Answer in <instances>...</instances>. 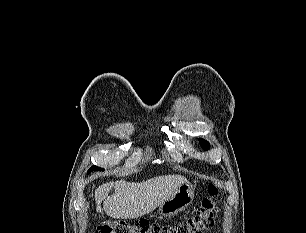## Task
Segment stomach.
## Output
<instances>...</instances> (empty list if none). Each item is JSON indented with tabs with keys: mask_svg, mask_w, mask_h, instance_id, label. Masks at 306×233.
I'll return each mask as SVG.
<instances>
[{
	"mask_svg": "<svg viewBox=\"0 0 306 233\" xmlns=\"http://www.w3.org/2000/svg\"><path fill=\"white\" fill-rule=\"evenodd\" d=\"M194 199V189L189 183L179 186L171 196L159 205L162 216H172L188 207Z\"/></svg>",
	"mask_w": 306,
	"mask_h": 233,
	"instance_id": "stomach-1",
	"label": "stomach"
}]
</instances>
